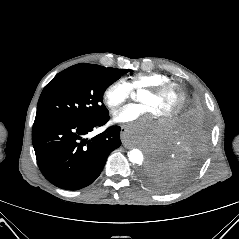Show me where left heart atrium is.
<instances>
[{"label":"left heart atrium","mask_w":239,"mask_h":239,"mask_svg":"<svg viewBox=\"0 0 239 239\" xmlns=\"http://www.w3.org/2000/svg\"><path fill=\"white\" fill-rule=\"evenodd\" d=\"M156 118L153 110L145 104H131L120 110L114 115L117 123L133 124L131 127L133 134H143L154 129V119Z\"/></svg>","instance_id":"left-heart-atrium-1"}]
</instances>
